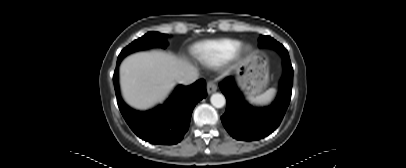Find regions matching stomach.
<instances>
[{
    "label": "stomach",
    "instance_id": "stomach-1",
    "mask_svg": "<svg viewBox=\"0 0 406 168\" xmlns=\"http://www.w3.org/2000/svg\"><path fill=\"white\" fill-rule=\"evenodd\" d=\"M238 85L248 96L259 95L268 82V64L263 57L253 54L237 68Z\"/></svg>",
    "mask_w": 406,
    "mask_h": 168
}]
</instances>
